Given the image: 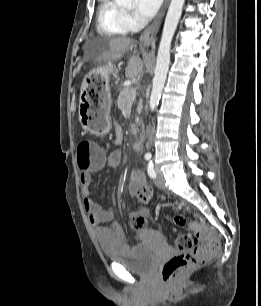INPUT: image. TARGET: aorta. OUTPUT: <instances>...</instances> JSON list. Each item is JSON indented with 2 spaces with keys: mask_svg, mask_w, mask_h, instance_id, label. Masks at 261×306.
Masks as SVG:
<instances>
[{
  "mask_svg": "<svg viewBox=\"0 0 261 306\" xmlns=\"http://www.w3.org/2000/svg\"><path fill=\"white\" fill-rule=\"evenodd\" d=\"M120 6L130 7L132 0H115ZM185 0H171L163 27L161 41L158 48L153 88L149 106L154 111L158 106L162 90L164 88L167 72L170 64V47L176 31Z\"/></svg>",
  "mask_w": 261,
  "mask_h": 306,
  "instance_id": "aorta-1",
  "label": "aorta"
}]
</instances>
